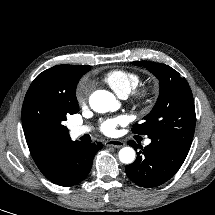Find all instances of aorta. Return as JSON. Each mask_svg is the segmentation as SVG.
<instances>
[{"label": "aorta", "mask_w": 215, "mask_h": 215, "mask_svg": "<svg viewBox=\"0 0 215 215\" xmlns=\"http://www.w3.org/2000/svg\"><path fill=\"white\" fill-rule=\"evenodd\" d=\"M89 104L98 113L114 111L119 107L115 96L106 90L95 91L90 96ZM119 159L124 164H130L135 160V151L131 147H124L119 151Z\"/></svg>", "instance_id": "aorta-1"}]
</instances>
